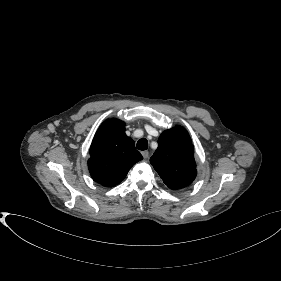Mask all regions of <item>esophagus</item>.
I'll return each instance as SVG.
<instances>
[{
    "label": "esophagus",
    "instance_id": "esophagus-1",
    "mask_svg": "<svg viewBox=\"0 0 281 281\" xmlns=\"http://www.w3.org/2000/svg\"><path fill=\"white\" fill-rule=\"evenodd\" d=\"M141 154L145 159L149 157V152L147 150L142 151Z\"/></svg>",
    "mask_w": 281,
    "mask_h": 281
}]
</instances>
